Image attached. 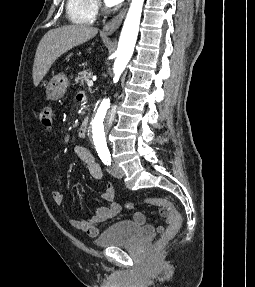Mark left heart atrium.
<instances>
[{"instance_id": "left-heart-atrium-1", "label": "left heart atrium", "mask_w": 255, "mask_h": 287, "mask_svg": "<svg viewBox=\"0 0 255 287\" xmlns=\"http://www.w3.org/2000/svg\"><path fill=\"white\" fill-rule=\"evenodd\" d=\"M108 1H110L111 3H114V2H116L117 0H108ZM77 33H81V32H77Z\"/></svg>"}]
</instances>
